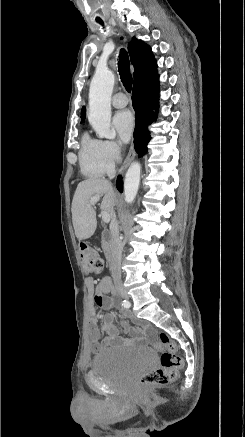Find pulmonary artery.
<instances>
[{
    "label": "pulmonary artery",
    "instance_id": "obj_1",
    "mask_svg": "<svg viewBox=\"0 0 245 437\" xmlns=\"http://www.w3.org/2000/svg\"><path fill=\"white\" fill-rule=\"evenodd\" d=\"M112 105L115 108H123L128 104V98L123 93H116L111 100Z\"/></svg>",
    "mask_w": 245,
    "mask_h": 437
}]
</instances>
